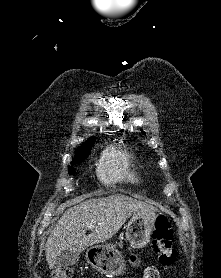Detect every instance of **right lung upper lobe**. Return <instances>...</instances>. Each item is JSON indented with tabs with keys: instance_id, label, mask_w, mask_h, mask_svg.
<instances>
[{
	"instance_id": "right-lung-upper-lobe-1",
	"label": "right lung upper lobe",
	"mask_w": 221,
	"mask_h": 278,
	"mask_svg": "<svg viewBox=\"0 0 221 278\" xmlns=\"http://www.w3.org/2000/svg\"><path fill=\"white\" fill-rule=\"evenodd\" d=\"M94 138H91L89 139L88 141H86L85 143H83L80 147L77 148V150H80V149H83V148H86L90 145H93L94 144Z\"/></svg>"
}]
</instances>
